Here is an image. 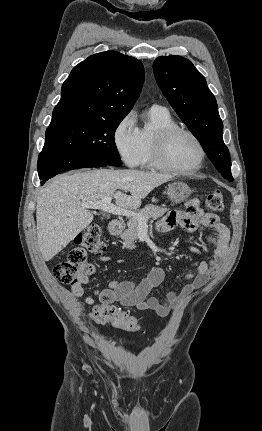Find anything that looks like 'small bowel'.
I'll return each instance as SVG.
<instances>
[{
  "mask_svg": "<svg viewBox=\"0 0 262 431\" xmlns=\"http://www.w3.org/2000/svg\"><path fill=\"white\" fill-rule=\"evenodd\" d=\"M198 204V200L194 199L188 201L186 206L195 207ZM178 224L189 231L196 230L200 226L214 230V234L210 237V242L214 247V255L210 260H202L197 271L187 275L189 283L178 292H168L165 302H161L151 296L152 291L164 279L165 273L161 268L153 267L146 277L137 283L112 280L109 282L108 288L102 291L94 290V297H85L84 303L93 306L94 314L106 315L110 310H117L115 304H118L121 307H134L138 310L150 309L158 316L165 318L171 310L179 308L191 294L204 286L224 266L229 252L230 233L227 226L221 223L216 215L199 208H195V213L192 215L174 210L159 222L158 229L161 232H167ZM190 251L199 255L196 248H191ZM103 260L109 261V258L104 257ZM71 292L75 297H82L84 289L76 287ZM95 300L98 301L97 304H95Z\"/></svg>",
  "mask_w": 262,
  "mask_h": 431,
  "instance_id": "small-bowel-1",
  "label": "small bowel"
}]
</instances>
